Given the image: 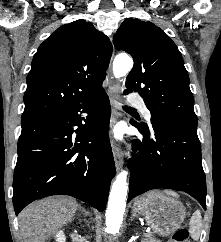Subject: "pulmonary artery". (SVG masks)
I'll list each match as a JSON object with an SVG mask.
<instances>
[{"label": "pulmonary artery", "instance_id": "pulmonary-artery-1", "mask_svg": "<svg viewBox=\"0 0 221 242\" xmlns=\"http://www.w3.org/2000/svg\"><path fill=\"white\" fill-rule=\"evenodd\" d=\"M131 103L137 107H139L140 109H142L144 116L146 119L150 120L151 118V113L148 110V108L145 106V104L143 103V101L141 99H137V98H132L131 99Z\"/></svg>", "mask_w": 221, "mask_h": 242}]
</instances>
